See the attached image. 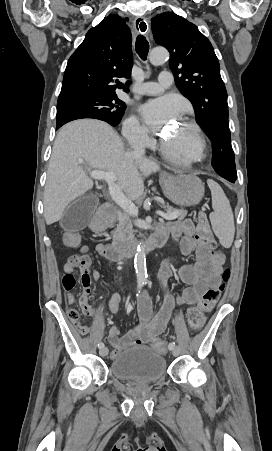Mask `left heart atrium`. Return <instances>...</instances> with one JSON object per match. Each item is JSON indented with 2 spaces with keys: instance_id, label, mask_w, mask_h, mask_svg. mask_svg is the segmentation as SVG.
<instances>
[{
  "instance_id": "39dd6f15",
  "label": "left heart atrium",
  "mask_w": 272,
  "mask_h": 451,
  "mask_svg": "<svg viewBox=\"0 0 272 451\" xmlns=\"http://www.w3.org/2000/svg\"><path fill=\"white\" fill-rule=\"evenodd\" d=\"M179 112V107L170 97H162L151 101L143 108L145 123L153 132L162 131L170 124Z\"/></svg>"
}]
</instances>
